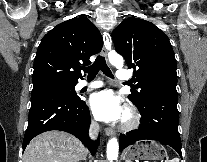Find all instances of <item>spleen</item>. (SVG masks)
I'll return each instance as SVG.
<instances>
[{
  "instance_id": "obj_1",
  "label": "spleen",
  "mask_w": 207,
  "mask_h": 162,
  "mask_svg": "<svg viewBox=\"0 0 207 162\" xmlns=\"http://www.w3.org/2000/svg\"><path fill=\"white\" fill-rule=\"evenodd\" d=\"M166 162H179V159L178 158H174V159L166 161Z\"/></svg>"
}]
</instances>
